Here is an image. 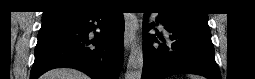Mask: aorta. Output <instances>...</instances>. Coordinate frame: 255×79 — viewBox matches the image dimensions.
Masks as SVG:
<instances>
[{"label": "aorta", "mask_w": 255, "mask_h": 79, "mask_svg": "<svg viewBox=\"0 0 255 79\" xmlns=\"http://www.w3.org/2000/svg\"><path fill=\"white\" fill-rule=\"evenodd\" d=\"M143 69V50L135 43L129 55L125 79H141Z\"/></svg>", "instance_id": "762f6f07"}]
</instances>
